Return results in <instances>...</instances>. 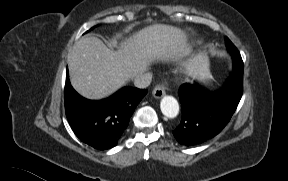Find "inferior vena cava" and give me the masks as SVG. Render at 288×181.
Segmentation results:
<instances>
[{
  "mask_svg": "<svg viewBox=\"0 0 288 181\" xmlns=\"http://www.w3.org/2000/svg\"><path fill=\"white\" fill-rule=\"evenodd\" d=\"M152 74L151 73H143L139 74L134 78V84L138 88H146L151 84Z\"/></svg>",
  "mask_w": 288,
  "mask_h": 181,
  "instance_id": "inferior-vena-cava-1",
  "label": "inferior vena cava"
}]
</instances>
